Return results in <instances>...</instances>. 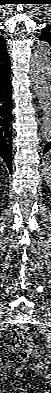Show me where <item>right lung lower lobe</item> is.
I'll list each match as a JSON object with an SVG mask.
<instances>
[{
    "label": "right lung lower lobe",
    "instance_id": "1",
    "mask_svg": "<svg viewBox=\"0 0 51 393\" xmlns=\"http://www.w3.org/2000/svg\"><path fill=\"white\" fill-rule=\"evenodd\" d=\"M11 68L0 74V157L4 159L9 171L12 170V90Z\"/></svg>",
    "mask_w": 51,
    "mask_h": 393
}]
</instances>
